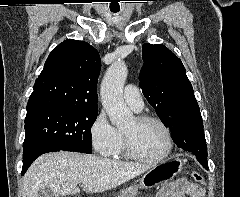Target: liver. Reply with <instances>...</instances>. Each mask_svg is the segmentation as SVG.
Returning a JSON list of instances; mask_svg holds the SVG:
<instances>
[{"instance_id": "6515ba94", "label": "liver", "mask_w": 240, "mask_h": 197, "mask_svg": "<svg viewBox=\"0 0 240 197\" xmlns=\"http://www.w3.org/2000/svg\"><path fill=\"white\" fill-rule=\"evenodd\" d=\"M150 164L123 162L76 152L41 155L23 177V197H39L47 187L54 195L104 192L120 186L150 169Z\"/></svg>"}]
</instances>
